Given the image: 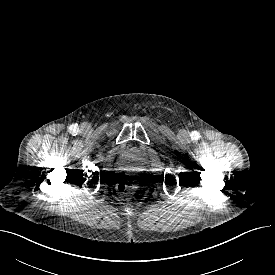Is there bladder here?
Returning a JSON list of instances; mask_svg holds the SVG:
<instances>
[{
    "mask_svg": "<svg viewBox=\"0 0 275 275\" xmlns=\"http://www.w3.org/2000/svg\"><path fill=\"white\" fill-rule=\"evenodd\" d=\"M116 166L122 176L134 179L144 173L147 161L141 151L129 148L119 154Z\"/></svg>",
    "mask_w": 275,
    "mask_h": 275,
    "instance_id": "bladder-1",
    "label": "bladder"
}]
</instances>
